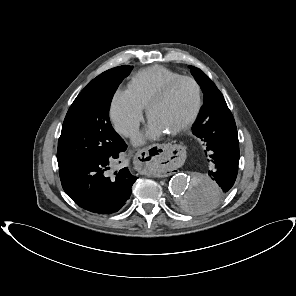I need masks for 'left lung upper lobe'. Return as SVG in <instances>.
Wrapping results in <instances>:
<instances>
[{
  "label": "left lung upper lobe",
  "instance_id": "1",
  "mask_svg": "<svg viewBox=\"0 0 296 296\" xmlns=\"http://www.w3.org/2000/svg\"><path fill=\"white\" fill-rule=\"evenodd\" d=\"M190 69L192 75L194 76L197 83L201 86V89L204 93V104L192 129L193 134L200 138V135H198V129H200V125L209 118L210 114L217 107L225 103V100L216 85L207 75H205L200 69L194 66H190ZM187 207L189 209H195V207Z\"/></svg>",
  "mask_w": 296,
  "mask_h": 296
}]
</instances>
